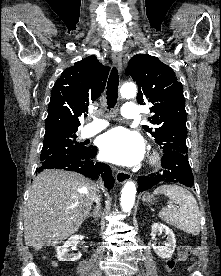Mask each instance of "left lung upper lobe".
Instances as JSON below:
<instances>
[{
    "instance_id": "left-lung-upper-lobe-1",
    "label": "left lung upper lobe",
    "mask_w": 221,
    "mask_h": 276,
    "mask_svg": "<svg viewBox=\"0 0 221 276\" xmlns=\"http://www.w3.org/2000/svg\"><path fill=\"white\" fill-rule=\"evenodd\" d=\"M125 74L139 86L137 102L152 104L148 118L150 126L143 129L154 137L163 151L187 153V113L183 86L171 67L157 57L138 54L133 56Z\"/></svg>"
}]
</instances>
